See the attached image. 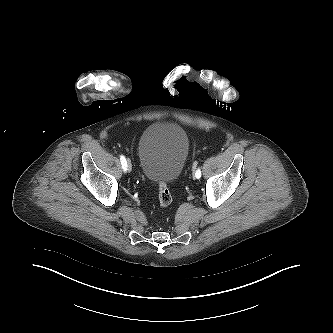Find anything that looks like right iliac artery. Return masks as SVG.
<instances>
[{
	"label": "right iliac artery",
	"mask_w": 333,
	"mask_h": 333,
	"mask_svg": "<svg viewBox=\"0 0 333 333\" xmlns=\"http://www.w3.org/2000/svg\"><path fill=\"white\" fill-rule=\"evenodd\" d=\"M120 161H121V165H122L123 170L126 171L127 170V161H126V158L123 155L120 156Z\"/></svg>",
	"instance_id": "right-iliac-artery-1"
}]
</instances>
